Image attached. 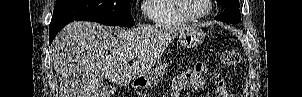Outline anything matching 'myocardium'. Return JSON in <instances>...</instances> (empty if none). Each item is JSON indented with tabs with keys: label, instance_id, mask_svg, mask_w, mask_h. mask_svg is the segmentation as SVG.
Returning <instances> with one entry per match:
<instances>
[{
	"label": "myocardium",
	"instance_id": "myocardium-1",
	"mask_svg": "<svg viewBox=\"0 0 302 97\" xmlns=\"http://www.w3.org/2000/svg\"><path fill=\"white\" fill-rule=\"evenodd\" d=\"M206 3V9L204 12H202L199 15H189L187 14L181 5V0H174V7L176 9V11L180 14V16L182 18H184L187 21H198L200 19H203L204 17H206L207 15L210 14L211 10H212V0H205Z\"/></svg>",
	"mask_w": 302,
	"mask_h": 97
}]
</instances>
